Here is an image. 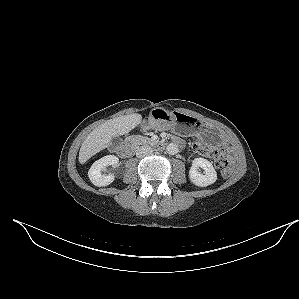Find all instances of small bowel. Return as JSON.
<instances>
[{"label": "small bowel", "instance_id": "c3829d8e", "mask_svg": "<svg viewBox=\"0 0 299 299\" xmlns=\"http://www.w3.org/2000/svg\"><path fill=\"white\" fill-rule=\"evenodd\" d=\"M174 141L178 142L180 146H182L184 144L183 140L181 138H178V137H175Z\"/></svg>", "mask_w": 299, "mask_h": 299}]
</instances>
